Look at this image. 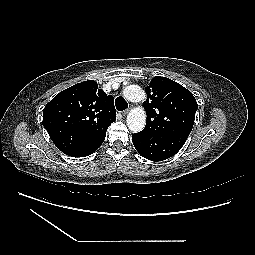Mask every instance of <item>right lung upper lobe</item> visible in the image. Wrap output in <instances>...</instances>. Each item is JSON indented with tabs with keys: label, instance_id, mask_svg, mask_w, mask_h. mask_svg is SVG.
<instances>
[{
	"label": "right lung upper lobe",
	"instance_id": "right-lung-upper-lobe-1",
	"mask_svg": "<svg viewBox=\"0 0 255 255\" xmlns=\"http://www.w3.org/2000/svg\"><path fill=\"white\" fill-rule=\"evenodd\" d=\"M116 120L114 98L94 80L60 92L43 110V126L64 154L75 157Z\"/></svg>",
	"mask_w": 255,
	"mask_h": 255
}]
</instances>
